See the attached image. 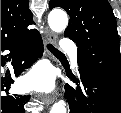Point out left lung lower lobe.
Returning <instances> with one entry per match:
<instances>
[{
	"label": "left lung lower lobe",
	"mask_w": 121,
	"mask_h": 113,
	"mask_svg": "<svg viewBox=\"0 0 121 113\" xmlns=\"http://www.w3.org/2000/svg\"><path fill=\"white\" fill-rule=\"evenodd\" d=\"M79 72L83 87H66L70 113H121L120 87L89 68L79 67Z\"/></svg>",
	"instance_id": "1"
}]
</instances>
